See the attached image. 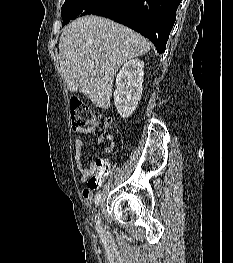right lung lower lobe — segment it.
Returning a JSON list of instances; mask_svg holds the SVG:
<instances>
[{
  "instance_id": "1",
  "label": "right lung lower lobe",
  "mask_w": 233,
  "mask_h": 263,
  "mask_svg": "<svg viewBox=\"0 0 233 263\" xmlns=\"http://www.w3.org/2000/svg\"><path fill=\"white\" fill-rule=\"evenodd\" d=\"M181 0H122L110 13L100 16L124 24L147 37L163 53L176 20Z\"/></svg>"
}]
</instances>
